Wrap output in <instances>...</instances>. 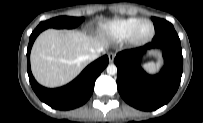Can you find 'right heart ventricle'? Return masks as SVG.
Returning <instances> with one entry per match:
<instances>
[{"label": "right heart ventricle", "instance_id": "e07e8e85", "mask_svg": "<svg viewBox=\"0 0 203 123\" xmlns=\"http://www.w3.org/2000/svg\"><path fill=\"white\" fill-rule=\"evenodd\" d=\"M140 18H125L117 19L100 26V31L115 40H125L128 39L132 29L140 21Z\"/></svg>", "mask_w": 203, "mask_h": 123}]
</instances>
